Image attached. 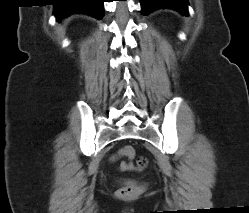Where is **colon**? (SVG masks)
<instances>
[{"mask_svg":"<svg viewBox=\"0 0 249 213\" xmlns=\"http://www.w3.org/2000/svg\"><path fill=\"white\" fill-rule=\"evenodd\" d=\"M118 155H124L129 158H132L134 156V149L129 145L124 146L119 150ZM146 163L147 161L144 157H139L136 162L135 168L137 170H142L146 166ZM132 167L133 166L131 164H122L121 166V168L124 170L131 169ZM137 193H138V187L134 185H126L118 190V196L123 199L133 198L134 196H136Z\"/></svg>","mask_w":249,"mask_h":213,"instance_id":"colon-1","label":"colon"}]
</instances>
